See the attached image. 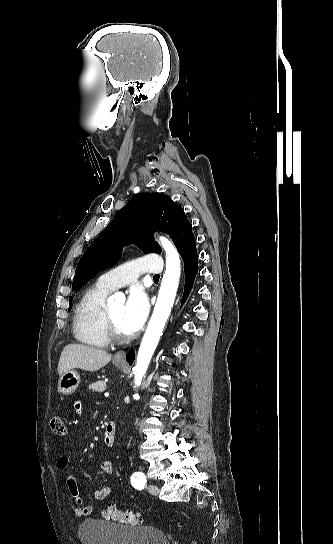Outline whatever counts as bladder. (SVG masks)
I'll return each instance as SVG.
<instances>
[{
    "instance_id": "31cf9c89",
    "label": "bladder",
    "mask_w": 333,
    "mask_h": 544,
    "mask_svg": "<svg viewBox=\"0 0 333 544\" xmlns=\"http://www.w3.org/2000/svg\"><path fill=\"white\" fill-rule=\"evenodd\" d=\"M82 544H170L167 535L152 526H125L87 519L78 527Z\"/></svg>"
}]
</instances>
